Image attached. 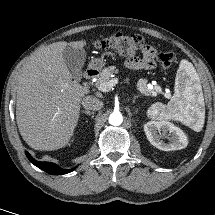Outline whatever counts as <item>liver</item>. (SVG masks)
<instances>
[{"mask_svg": "<svg viewBox=\"0 0 215 215\" xmlns=\"http://www.w3.org/2000/svg\"><path fill=\"white\" fill-rule=\"evenodd\" d=\"M86 41L56 42L35 51L17 75L16 120L24 141L35 150L66 146L79 119L87 87L72 81L63 60L66 47L83 48Z\"/></svg>", "mask_w": 215, "mask_h": 215, "instance_id": "obj_1", "label": "liver"}]
</instances>
